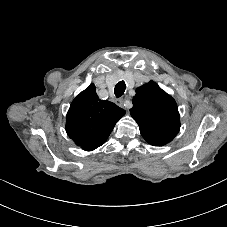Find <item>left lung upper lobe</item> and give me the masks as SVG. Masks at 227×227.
I'll list each match as a JSON object with an SVG mask.
<instances>
[{"label": "left lung upper lobe", "mask_w": 227, "mask_h": 227, "mask_svg": "<svg viewBox=\"0 0 227 227\" xmlns=\"http://www.w3.org/2000/svg\"><path fill=\"white\" fill-rule=\"evenodd\" d=\"M130 113L138 123L142 135L151 136L165 144L172 141L179 132L177 104L154 81L136 89Z\"/></svg>", "instance_id": "left-lung-upper-lobe-1"}]
</instances>
